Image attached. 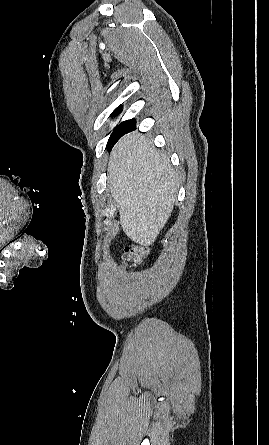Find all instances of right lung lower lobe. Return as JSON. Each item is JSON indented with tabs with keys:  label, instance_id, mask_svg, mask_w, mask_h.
Returning a JSON list of instances; mask_svg holds the SVG:
<instances>
[{
	"label": "right lung lower lobe",
	"instance_id": "1",
	"mask_svg": "<svg viewBox=\"0 0 269 445\" xmlns=\"http://www.w3.org/2000/svg\"><path fill=\"white\" fill-rule=\"evenodd\" d=\"M134 128H135V126H134V127H132V128H131V129L129 130V131L133 130ZM129 131H127V132H129ZM127 132H126V133H127Z\"/></svg>",
	"mask_w": 269,
	"mask_h": 445
}]
</instances>
